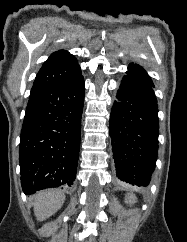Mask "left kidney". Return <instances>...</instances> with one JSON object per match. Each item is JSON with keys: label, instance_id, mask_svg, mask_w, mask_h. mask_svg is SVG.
Here are the masks:
<instances>
[{"label": "left kidney", "instance_id": "5707ae66", "mask_svg": "<svg viewBox=\"0 0 187 242\" xmlns=\"http://www.w3.org/2000/svg\"><path fill=\"white\" fill-rule=\"evenodd\" d=\"M137 201V198L134 194L129 193L126 195L125 202L128 204H133Z\"/></svg>", "mask_w": 187, "mask_h": 242}]
</instances>
